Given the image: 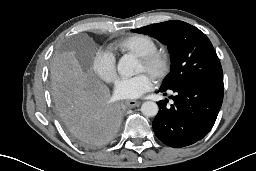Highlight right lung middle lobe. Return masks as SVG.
I'll use <instances>...</instances> for the list:
<instances>
[{
    "label": "right lung middle lobe",
    "mask_w": 256,
    "mask_h": 171,
    "mask_svg": "<svg viewBox=\"0 0 256 171\" xmlns=\"http://www.w3.org/2000/svg\"><path fill=\"white\" fill-rule=\"evenodd\" d=\"M50 74L51 91L55 102L80 90L77 79L64 58L57 57L54 60Z\"/></svg>",
    "instance_id": "dd1d6c3e"
}]
</instances>
